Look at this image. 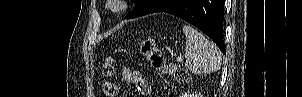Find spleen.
I'll list each match as a JSON object with an SVG mask.
<instances>
[{"instance_id":"obj_1","label":"spleen","mask_w":302,"mask_h":97,"mask_svg":"<svg viewBox=\"0 0 302 97\" xmlns=\"http://www.w3.org/2000/svg\"><path fill=\"white\" fill-rule=\"evenodd\" d=\"M187 37L185 46V67L192 73H210L217 71L222 62L218 47L192 26H183Z\"/></svg>"}]
</instances>
